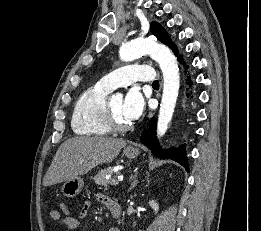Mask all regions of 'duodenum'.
Masks as SVG:
<instances>
[{
    "label": "duodenum",
    "instance_id": "410a0bca",
    "mask_svg": "<svg viewBox=\"0 0 261 231\" xmlns=\"http://www.w3.org/2000/svg\"><path fill=\"white\" fill-rule=\"evenodd\" d=\"M107 208L113 217H117L120 213V205L115 201H111L107 204Z\"/></svg>",
    "mask_w": 261,
    "mask_h": 231
}]
</instances>
